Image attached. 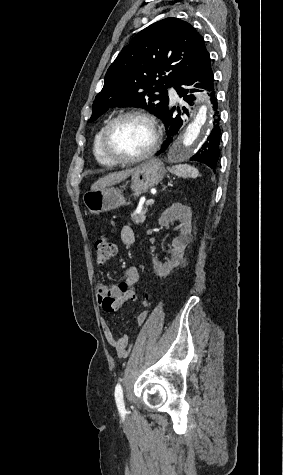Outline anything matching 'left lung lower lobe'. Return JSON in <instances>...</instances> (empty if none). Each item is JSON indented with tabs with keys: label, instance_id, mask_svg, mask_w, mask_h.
Segmentation results:
<instances>
[{
	"label": "left lung lower lobe",
	"instance_id": "1",
	"mask_svg": "<svg viewBox=\"0 0 283 475\" xmlns=\"http://www.w3.org/2000/svg\"><path fill=\"white\" fill-rule=\"evenodd\" d=\"M210 62L211 59L209 58L196 68L184 74L175 83L174 88L177 91L178 95L180 97H183V100L189 103L190 105H192L193 100H195V97L192 95V93L199 90L189 89L187 86L196 83L194 87L203 88L207 90V94L210 97V102L213 104V110L215 111L213 115L214 126L210 135L207 138V141L202 145L198 152L192 156L191 161H199L205 163L210 168L215 169L220 155L219 144L221 130L219 126L220 115L217 111L218 104L214 87L213 72L211 69ZM174 110L175 109H170L168 106L166 111L161 116L166 126L167 139L161 146V149L156 153V155H160L168 149L173 138L177 134V131L183 125V117H181L180 115L175 116L173 114ZM177 110L180 113L179 108H177Z\"/></svg>",
	"mask_w": 283,
	"mask_h": 475
}]
</instances>
